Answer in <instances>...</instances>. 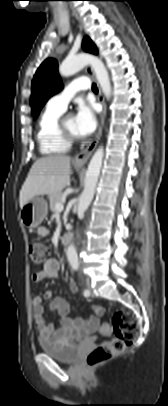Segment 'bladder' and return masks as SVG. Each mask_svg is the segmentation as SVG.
I'll return each mask as SVG.
<instances>
[{
  "label": "bladder",
  "mask_w": 168,
  "mask_h": 406,
  "mask_svg": "<svg viewBox=\"0 0 168 406\" xmlns=\"http://www.w3.org/2000/svg\"><path fill=\"white\" fill-rule=\"evenodd\" d=\"M39 344L45 354L62 363H74L81 354L80 348L75 345H58L44 339H40Z\"/></svg>",
  "instance_id": "obj_1"
}]
</instances>
